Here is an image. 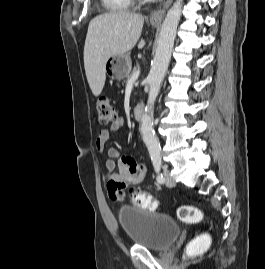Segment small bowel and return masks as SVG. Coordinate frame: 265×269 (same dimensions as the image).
<instances>
[{"label":"small bowel","instance_id":"small-bowel-1","mask_svg":"<svg viewBox=\"0 0 265 269\" xmlns=\"http://www.w3.org/2000/svg\"><path fill=\"white\" fill-rule=\"evenodd\" d=\"M124 126L122 118L117 119L108 128L101 129L97 135L95 146L101 153H106L105 162L107 189L112 201L120 203L125 198L127 188L140 184L146 173V167L135 158L123 155L116 148H107L106 143L111 133L121 131Z\"/></svg>","mask_w":265,"mask_h":269}]
</instances>
